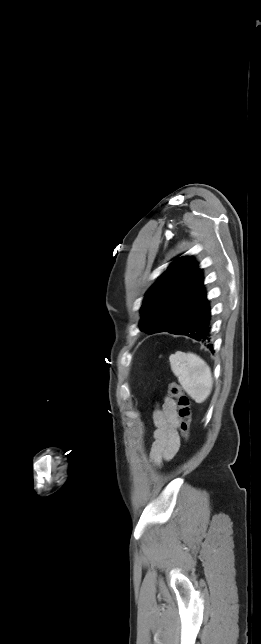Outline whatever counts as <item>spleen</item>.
<instances>
[{
    "instance_id": "3e777b00",
    "label": "spleen",
    "mask_w": 261,
    "mask_h": 644,
    "mask_svg": "<svg viewBox=\"0 0 261 644\" xmlns=\"http://www.w3.org/2000/svg\"><path fill=\"white\" fill-rule=\"evenodd\" d=\"M173 374L185 392L196 402L203 403L211 394L213 379L210 367L194 353L177 351L169 356Z\"/></svg>"
}]
</instances>
